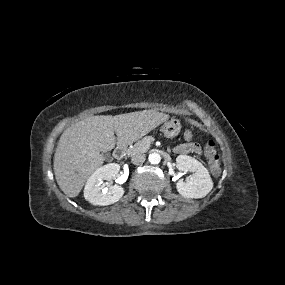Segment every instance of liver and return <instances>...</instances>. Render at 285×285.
I'll return each instance as SVG.
<instances>
[{"instance_id":"6515ba94","label":"liver","mask_w":285,"mask_h":285,"mask_svg":"<svg viewBox=\"0 0 285 285\" xmlns=\"http://www.w3.org/2000/svg\"><path fill=\"white\" fill-rule=\"evenodd\" d=\"M168 118V114L156 110H143L91 116L74 123L62 133L54 155V173L60 189L68 197H76L90 175L104 163L100 152L111 151L116 144L125 147Z\"/></svg>"}]
</instances>
